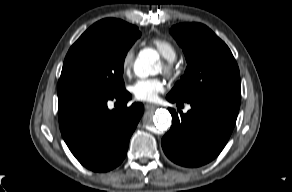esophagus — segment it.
<instances>
[{"label": "esophagus", "mask_w": 292, "mask_h": 192, "mask_svg": "<svg viewBox=\"0 0 292 192\" xmlns=\"http://www.w3.org/2000/svg\"><path fill=\"white\" fill-rule=\"evenodd\" d=\"M155 108H157V105H155V104H151V103L145 104V109H147V110L155 109Z\"/></svg>", "instance_id": "obj_1"}]
</instances>
